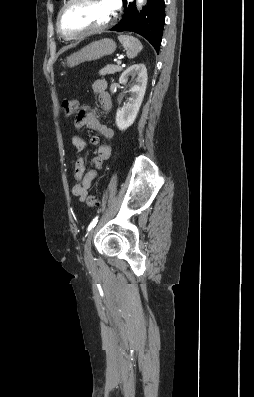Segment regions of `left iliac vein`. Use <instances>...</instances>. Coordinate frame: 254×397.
<instances>
[{
    "label": "left iliac vein",
    "mask_w": 254,
    "mask_h": 397,
    "mask_svg": "<svg viewBox=\"0 0 254 397\" xmlns=\"http://www.w3.org/2000/svg\"><path fill=\"white\" fill-rule=\"evenodd\" d=\"M95 232H96V228H93L90 231V233L87 237V240L85 242L84 248H85V257H86L87 261H91V259H92L91 243H92V239L94 237Z\"/></svg>",
    "instance_id": "left-iliac-vein-1"
}]
</instances>
